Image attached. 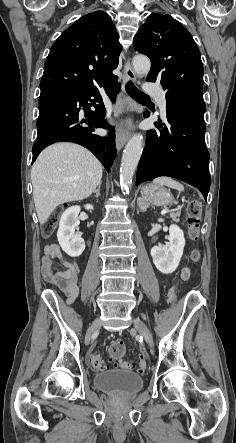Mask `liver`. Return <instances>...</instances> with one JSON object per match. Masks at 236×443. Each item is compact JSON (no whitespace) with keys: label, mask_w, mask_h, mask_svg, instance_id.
Masks as SVG:
<instances>
[{"label":"liver","mask_w":236,"mask_h":443,"mask_svg":"<svg viewBox=\"0 0 236 443\" xmlns=\"http://www.w3.org/2000/svg\"><path fill=\"white\" fill-rule=\"evenodd\" d=\"M101 179V163L84 147L60 142L43 150L31 169L40 224L47 221L58 205L89 197Z\"/></svg>","instance_id":"6515ba94"}]
</instances>
